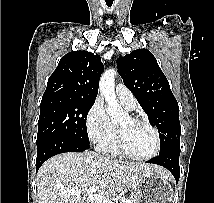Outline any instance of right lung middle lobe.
Listing matches in <instances>:
<instances>
[{"label":"right lung middle lobe","mask_w":214,"mask_h":203,"mask_svg":"<svg viewBox=\"0 0 214 203\" xmlns=\"http://www.w3.org/2000/svg\"><path fill=\"white\" fill-rule=\"evenodd\" d=\"M94 102L70 98L42 99L37 146L51 139H65L89 145L86 119Z\"/></svg>","instance_id":"right-lung-middle-lobe-1"}]
</instances>
